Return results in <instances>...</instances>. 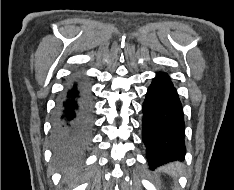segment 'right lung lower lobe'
I'll return each instance as SVG.
<instances>
[{"label": "right lung lower lobe", "mask_w": 234, "mask_h": 190, "mask_svg": "<svg viewBox=\"0 0 234 190\" xmlns=\"http://www.w3.org/2000/svg\"><path fill=\"white\" fill-rule=\"evenodd\" d=\"M92 110L81 85L73 83L65 90L54 121L55 147L59 151L78 150L87 144L93 126Z\"/></svg>", "instance_id": "98d812e1"}]
</instances>
